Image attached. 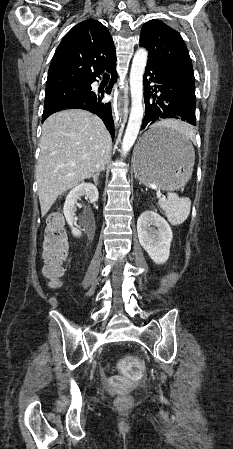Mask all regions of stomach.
I'll return each mask as SVG.
<instances>
[{
	"instance_id": "0dacf381",
	"label": "stomach",
	"mask_w": 233,
	"mask_h": 449,
	"mask_svg": "<svg viewBox=\"0 0 233 449\" xmlns=\"http://www.w3.org/2000/svg\"><path fill=\"white\" fill-rule=\"evenodd\" d=\"M194 163V149L185 133L157 123L146 128L134 150L137 178L157 189H178L187 181Z\"/></svg>"
}]
</instances>
